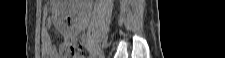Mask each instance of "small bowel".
<instances>
[{
    "label": "small bowel",
    "instance_id": "obj_1",
    "mask_svg": "<svg viewBox=\"0 0 225 58\" xmlns=\"http://www.w3.org/2000/svg\"><path fill=\"white\" fill-rule=\"evenodd\" d=\"M53 24V20L51 18H47L46 20V28L51 27ZM47 34V38L46 40L43 42L42 45V51L43 53H45L46 55H48V57L50 58H56L58 56H56L57 53V49L55 44L52 42L48 32L46 31ZM77 32L75 30H69L66 32L65 38L63 43L61 44V46L59 47V52L62 54V51L64 49V47L70 45V44H75L77 43V37H76Z\"/></svg>",
    "mask_w": 225,
    "mask_h": 58
}]
</instances>
